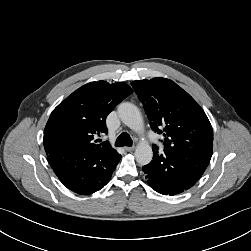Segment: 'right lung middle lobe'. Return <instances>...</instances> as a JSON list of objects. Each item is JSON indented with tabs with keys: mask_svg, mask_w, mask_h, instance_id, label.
<instances>
[{
	"mask_svg": "<svg viewBox=\"0 0 251 251\" xmlns=\"http://www.w3.org/2000/svg\"><path fill=\"white\" fill-rule=\"evenodd\" d=\"M67 144V139L66 138H58L57 141H55V146L57 148H63Z\"/></svg>",
	"mask_w": 251,
	"mask_h": 251,
	"instance_id": "dd1d6c3e",
	"label": "right lung middle lobe"
}]
</instances>
